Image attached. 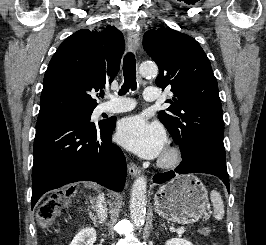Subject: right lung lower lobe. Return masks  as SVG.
Listing matches in <instances>:
<instances>
[{
    "label": "right lung lower lobe",
    "instance_id": "obj_1",
    "mask_svg": "<svg viewBox=\"0 0 266 245\" xmlns=\"http://www.w3.org/2000/svg\"><path fill=\"white\" fill-rule=\"evenodd\" d=\"M115 120L99 125L90 117L66 116L36 128L32 170V209L47 191L76 181H94L122 191L126 161L111 142Z\"/></svg>",
    "mask_w": 266,
    "mask_h": 245
}]
</instances>
